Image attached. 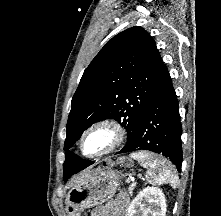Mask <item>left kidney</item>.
<instances>
[{
  "label": "left kidney",
  "mask_w": 221,
  "mask_h": 216,
  "mask_svg": "<svg viewBox=\"0 0 221 216\" xmlns=\"http://www.w3.org/2000/svg\"><path fill=\"white\" fill-rule=\"evenodd\" d=\"M166 198L157 187H146L133 199L127 216H166Z\"/></svg>",
  "instance_id": "obj_1"
}]
</instances>
